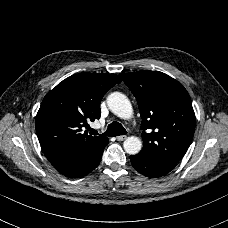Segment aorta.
<instances>
[{
    "label": "aorta",
    "mask_w": 228,
    "mask_h": 228,
    "mask_svg": "<svg viewBox=\"0 0 228 228\" xmlns=\"http://www.w3.org/2000/svg\"><path fill=\"white\" fill-rule=\"evenodd\" d=\"M107 105L111 112L122 119H130L133 108L128 97L121 92H113L107 97ZM124 150L130 155L138 154L142 148V142L138 137H128L123 143Z\"/></svg>",
    "instance_id": "obj_1"
}]
</instances>
